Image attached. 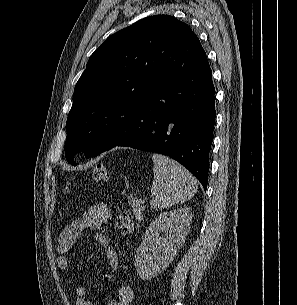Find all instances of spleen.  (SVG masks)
Segmentation results:
<instances>
[{
    "instance_id": "1",
    "label": "spleen",
    "mask_w": 297,
    "mask_h": 305,
    "mask_svg": "<svg viewBox=\"0 0 297 305\" xmlns=\"http://www.w3.org/2000/svg\"><path fill=\"white\" fill-rule=\"evenodd\" d=\"M154 179L151 208L159 210L182 204L197 192V181L176 161L161 154H153Z\"/></svg>"
}]
</instances>
